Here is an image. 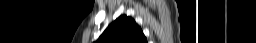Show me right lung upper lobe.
Returning <instances> with one entry per match:
<instances>
[{
  "instance_id": "right-lung-upper-lobe-1",
  "label": "right lung upper lobe",
  "mask_w": 256,
  "mask_h": 43,
  "mask_svg": "<svg viewBox=\"0 0 256 43\" xmlns=\"http://www.w3.org/2000/svg\"><path fill=\"white\" fill-rule=\"evenodd\" d=\"M96 43H147L141 28L126 15L111 23Z\"/></svg>"
}]
</instances>
